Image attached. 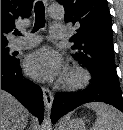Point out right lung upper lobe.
I'll use <instances>...</instances> for the list:
<instances>
[{"mask_svg":"<svg viewBox=\"0 0 123 130\" xmlns=\"http://www.w3.org/2000/svg\"><path fill=\"white\" fill-rule=\"evenodd\" d=\"M33 0H1V44H8L6 34L21 19L29 16Z\"/></svg>","mask_w":123,"mask_h":130,"instance_id":"obj_1","label":"right lung upper lobe"}]
</instances>
